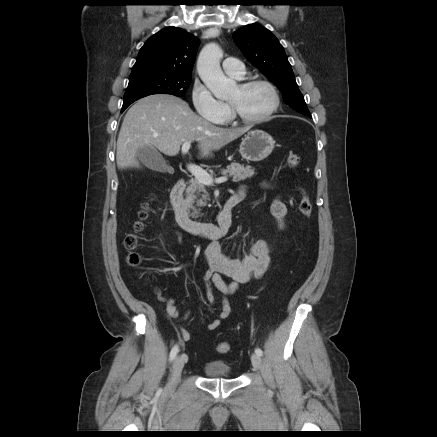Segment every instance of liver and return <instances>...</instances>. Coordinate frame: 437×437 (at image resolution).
<instances>
[{
	"instance_id": "1",
	"label": "liver",
	"mask_w": 437,
	"mask_h": 437,
	"mask_svg": "<svg viewBox=\"0 0 437 437\" xmlns=\"http://www.w3.org/2000/svg\"><path fill=\"white\" fill-rule=\"evenodd\" d=\"M249 130L221 128L196 115L188 103L172 95H150L138 100L126 113L117 139L119 169L139 168L136 152L150 146L175 156L186 141H197L202 157L212 156Z\"/></svg>"
}]
</instances>
